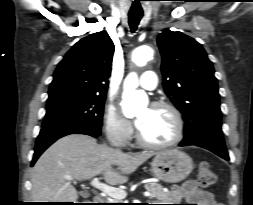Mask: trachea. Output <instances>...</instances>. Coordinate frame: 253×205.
<instances>
[{
    "label": "trachea",
    "instance_id": "trachea-1",
    "mask_svg": "<svg viewBox=\"0 0 253 205\" xmlns=\"http://www.w3.org/2000/svg\"><path fill=\"white\" fill-rule=\"evenodd\" d=\"M142 13H129V26L131 29V32L134 33L137 29V26L142 18Z\"/></svg>",
    "mask_w": 253,
    "mask_h": 205
}]
</instances>
